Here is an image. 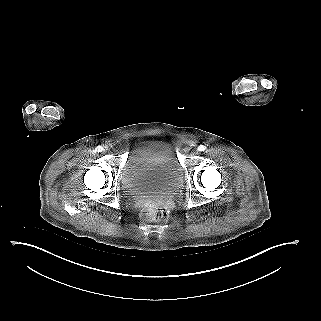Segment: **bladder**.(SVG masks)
Returning <instances> with one entry per match:
<instances>
[{
	"label": "bladder",
	"mask_w": 321,
	"mask_h": 321,
	"mask_svg": "<svg viewBox=\"0 0 321 321\" xmlns=\"http://www.w3.org/2000/svg\"><path fill=\"white\" fill-rule=\"evenodd\" d=\"M120 182L133 198L174 193L183 182V170L174 146L157 139L137 141L122 167Z\"/></svg>",
	"instance_id": "31cf9c89"
}]
</instances>
